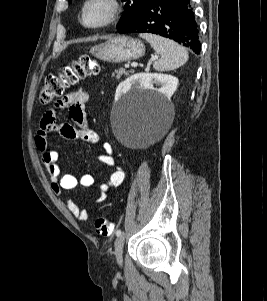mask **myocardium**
<instances>
[{
	"instance_id": "obj_1",
	"label": "myocardium",
	"mask_w": 267,
	"mask_h": 301,
	"mask_svg": "<svg viewBox=\"0 0 267 301\" xmlns=\"http://www.w3.org/2000/svg\"><path fill=\"white\" fill-rule=\"evenodd\" d=\"M97 1H101L105 3L108 8V12L102 20L96 23H88L86 21V11L92 3ZM120 12H121V3L119 0H85L81 8V23L86 28H91V29L103 28L115 22Z\"/></svg>"
}]
</instances>
